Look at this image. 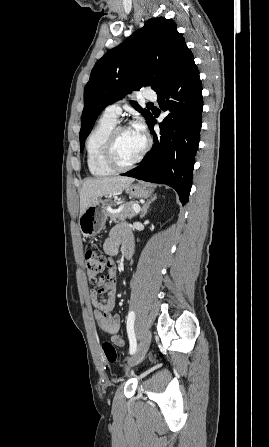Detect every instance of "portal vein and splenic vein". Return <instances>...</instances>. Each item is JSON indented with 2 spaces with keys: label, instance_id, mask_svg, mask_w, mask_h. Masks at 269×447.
Wrapping results in <instances>:
<instances>
[{
  "label": "portal vein and splenic vein",
  "instance_id": "1",
  "mask_svg": "<svg viewBox=\"0 0 269 447\" xmlns=\"http://www.w3.org/2000/svg\"><path fill=\"white\" fill-rule=\"evenodd\" d=\"M132 208H133L135 214H139V212L141 210L139 204H133Z\"/></svg>",
  "mask_w": 269,
  "mask_h": 447
}]
</instances>
